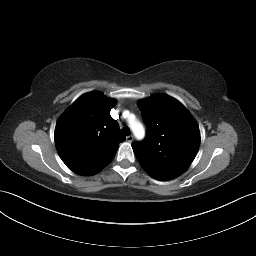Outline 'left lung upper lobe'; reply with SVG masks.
Returning <instances> with one entry per match:
<instances>
[{"label":"left lung upper lobe","mask_w":256,"mask_h":256,"mask_svg":"<svg viewBox=\"0 0 256 256\" xmlns=\"http://www.w3.org/2000/svg\"><path fill=\"white\" fill-rule=\"evenodd\" d=\"M138 106L147 127L146 138L132 143L140 165L157 180L178 177L198 152L196 121L179 101L165 94L140 100Z\"/></svg>","instance_id":"left-lung-upper-lobe-1"}]
</instances>
